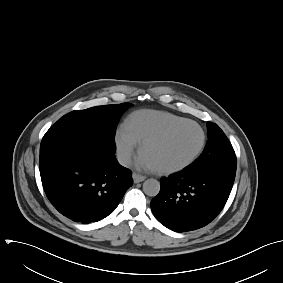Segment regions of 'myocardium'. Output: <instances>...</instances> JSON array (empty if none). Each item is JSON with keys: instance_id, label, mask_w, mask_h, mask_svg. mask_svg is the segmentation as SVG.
Masks as SVG:
<instances>
[{"instance_id": "f54148a6", "label": "myocardium", "mask_w": 283, "mask_h": 283, "mask_svg": "<svg viewBox=\"0 0 283 283\" xmlns=\"http://www.w3.org/2000/svg\"><path fill=\"white\" fill-rule=\"evenodd\" d=\"M187 124L195 126L199 130V132L201 134V141H200V144H199L198 148L192 154V156H190L183 163H181L179 165H176V166H173V167H169V168H156L155 170H156L157 173H159L161 175H173V174H176V173L184 171L185 169L190 167L192 164H194L196 162V160L200 157V155L202 154V152L204 151V148L206 146L207 135H206L205 130L196 121L185 119V120H182L180 122L174 123V124L166 127L162 131H160V132H158V133H156V134H154V135H152L150 137L145 138L141 142V144H140V151L143 152L144 148L148 144L163 140L171 132H173L175 129H177L178 127H180L182 125H187Z\"/></svg>"}]
</instances>
